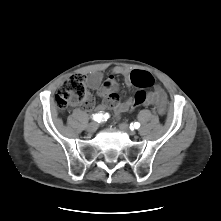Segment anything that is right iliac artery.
<instances>
[{"mask_svg":"<svg viewBox=\"0 0 221 221\" xmlns=\"http://www.w3.org/2000/svg\"><path fill=\"white\" fill-rule=\"evenodd\" d=\"M93 120L100 122L102 120V114L98 113V114L93 115Z\"/></svg>","mask_w":221,"mask_h":221,"instance_id":"1","label":"right iliac artery"}]
</instances>
